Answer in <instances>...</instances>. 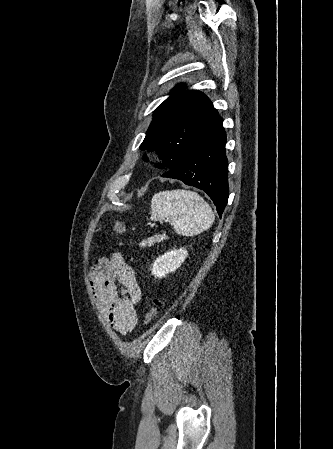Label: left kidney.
Returning <instances> with one entry per match:
<instances>
[{
  "mask_svg": "<svg viewBox=\"0 0 333 449\" xmlns=\"http://www.w3.org/2000/svg\"><path fill=\"white\" fill-rule=\"evenodd\" d=\"M187 257V250L184 248L173 249L159 256L153 263L152 274L155 277L162 278L168 273L176 270Z\"/></svg>",
  "mask_w": 333,
  "mask_h": 449,
  "instance_id": "1",
  "label": "left kidney"
}]
</instances>
